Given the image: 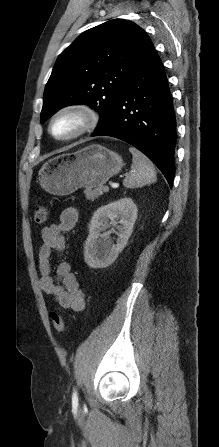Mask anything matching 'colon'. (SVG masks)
I'll return each mask as SVG.
<instances>
[{"instance_id": "colon-1", "label": "colon", "mask_w": 219, "mask_h": 447, "mask_svg": "<svg viewBox=\"0 0 219 447\" xmlns=\"http://www.w3.org/2000/svg\"><path fill=\"white\" fill-rule=\"evenodd\" d=\"M48 220V210L45 206L38 205L34 212V221L37 225L45 224ZM50 318L54 329L57 332H63L65 329V321L63 316L56 311L50 313Z\"/></svg>"}]
</instances>
